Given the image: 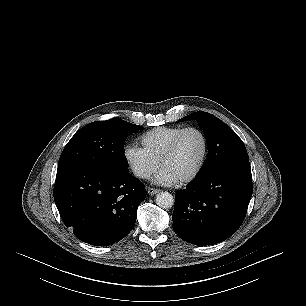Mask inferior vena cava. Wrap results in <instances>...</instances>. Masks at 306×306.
<instances>
[{"label": "inferior vena cava", "mask_w": 306, "mask_h": 306, "mask_svg": "<svg viewBox=\"0 0 306 306\" xmlns=\"http://www.w3.org/2000/svg\"><path fill=\"white\" fill-rule=\"evenodd\" d=\"M134 172L137 176L142 177V178L150 177V173L147 170L137 169Z\"/></svg>", "instance_id": "1"}]
</instances>
